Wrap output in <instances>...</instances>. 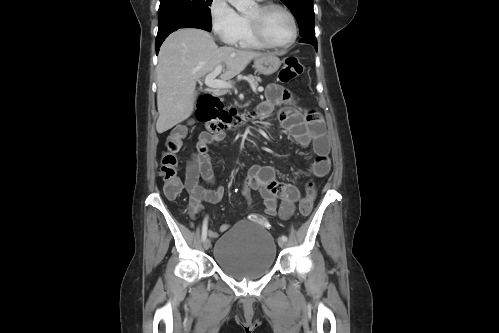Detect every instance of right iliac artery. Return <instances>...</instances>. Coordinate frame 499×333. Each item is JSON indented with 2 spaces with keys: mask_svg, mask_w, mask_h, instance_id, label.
Wrapping results in <instances>:
<instances>
[{
  "mask_svg": "<svg viewBox=\"0 0 499 333\" xmlns=\"http://www.w3.org/2000/svg\"><path fill=\"white\" fill-rule=\"evenodd\" d=\"M207 222L208 218L206 217L203 221V227H202V241H205L207 238Z\"/></svg>",
  "mask_w": 499,
  "mask_h": 333,
  "instance_id": "1",
  "label": "right iliac artery"
}]
</instances>
